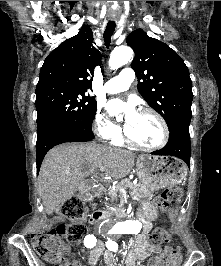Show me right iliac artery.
I'll return each mask as SVG.
<instances>
[{
    "mask_svg": "<svg viewBox=\"0 0 221 266\" xmlns=\"http://www.w3.org/2000/svg\"><path fill=\"white\" fill-rule=\"evenodd\" d=\"M97 239L94 235H87L84 238V245L87 248H93L96 245Z\"/></svg>",
    "mask_w": 221,
    "mask_h": 266,
    "instance_id": "obj_1",
    "label": "right iliac artery"
}]
</instances>
